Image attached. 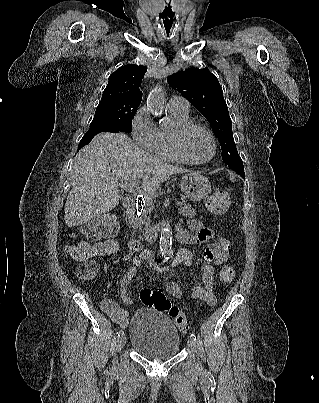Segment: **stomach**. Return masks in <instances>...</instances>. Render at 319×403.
I'll return each mask as SVG.
<instances>
[{
	"mask_svg": "<svg viewBox=\"0 0 319 403\" xmlns=\"http://www.w3.org/2000/svg\"><path fill=\"white\" fill-rule=\"evenodd\" d=\"M181 190L191 201L197 202L211 192L209 180L200 173H188L181 178Z\"/></svg>",
	"mask_w": 319,
	"mask_h": 403,
	"instance_id": "1",
	"label": "stomach"
}]
</instances>
